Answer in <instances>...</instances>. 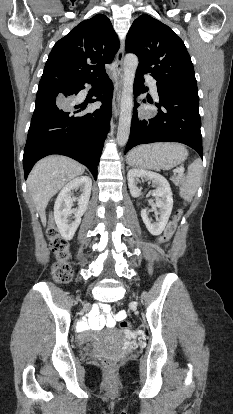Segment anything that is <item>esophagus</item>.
Masks as SVG:
<instances>
[{"mask_svg": "<svg viewBox=\"0 0 233 414\" xmlns=\"http://www.w3.org/2000/svg\"><path fill=\"white\" fill-rule=\"evenodd\" d=\"M124 43L121 44L120 49L116 56V67H115V78H114V93L112 99V109L113 115L116 119L119 115L120 109V99H121V90L124 80V72H123V58H124Z\"/></svg>", "mask_w": 233, "mask_h": 414, "instance_id": "obj_1", "label": "esophagus"}]
</instances>
